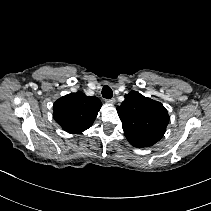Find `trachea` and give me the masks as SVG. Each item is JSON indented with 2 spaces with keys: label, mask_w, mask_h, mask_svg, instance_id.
Listing matches in <instances>:
<instances>
[{
  "label": "trachea",
  "mask_w": 211,
  "mask_h": 211,
  "mask_svg": "<svg viewBox=\"0 0 211 211\" xmlns=\"http://www.w3.org/2000/svg\"><path fill=\"white\" fill-rule=\"evenodd\" d=\"M113 95L112 89L109 86H104L102 88V96L106 99H111Z\"/></svg>",
  "instance_id": "obj_1"
}]
</instances>
